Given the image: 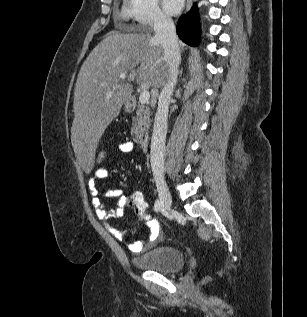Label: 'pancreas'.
Listing matches in <instances>:
<instances>
[{
	"mask_svg": "<svg viewBox=\"0 0 307 317\" xmlns=\"http://www.w3.org/2000/svg\"><path fill=\"white\" fill-rule=\"evenodd\" d=\"M132 121L131 135L133 136V141L141 144L150 126V109L147 106L138 105L136 115L132 117Z\"/></svg>",
	"mask_w": 307,
	"mask_h": 317,
	"instance_id": "1",
	"label": "pancreas"
}]
</instances>
